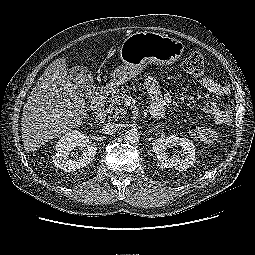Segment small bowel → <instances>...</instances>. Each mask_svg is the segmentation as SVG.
Listing matches in <instances>:
<instances>
[{
    "instance_id": "c3829d8e",
    "label": "small bowel",
    "mask_w": 255,
    "mask_h": 255,
    "mask_svg": "<svg viewBox=\"0 0 255 255\" xmlns=\"http://www.w3.org/2000/svg\"><path fill=\"white\" fill-rule=\"evenodd\" d=\"M200 84L213 94H219L222 91V86L211 77L206 76L201 78ZM144 86L151 100V112L153 117H163L166 109H168L172 104L173 97L171 92H167L164 96H162L158 82L152 77H148L145 80ZM207 110L216 111V104L210 102L207 105ZM218 119L222 120L223 116H219Z\"/></svg>"
}]
</instances>
